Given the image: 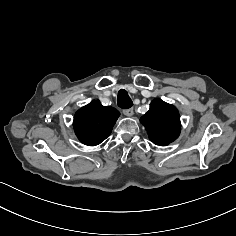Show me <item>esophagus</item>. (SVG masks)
Listing matches in <instances>:
<instances>
[{"mask_svg":"<svg viewBox=\"0 0 236 236\" xmlns=\"http://www.w3.org/2000/svg\"><path fill=\"white\" fill-rule=\"evenodd\" d=\"M123 113H124V115H126V116H132V115L134 114V111H133L132 108H129V109L123 110Z\"/></svg>","mask_w":236,"mask_h":236,"instance_id":"34e87169","label":"esophagus"}]
</instances>
